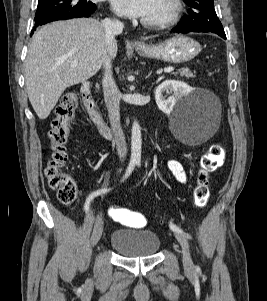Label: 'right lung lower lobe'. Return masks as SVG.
<instances>
[{"label":"right lung lower lobe","instance_id":"98d812e1","mask_svg":"<svg viewBox=\"0 0 267 301\" xmlns=\"http://www.w3.org/2000/svg\"><path fill=\"white\" fill-rule=\"evenodd\" d=\"M93 11H86L82 13H70V12H59V13H53L46 17H43L39 20L35 21V26L33 27L32 34L36 27L44 25L48 22L56 21V20H65V19H71V18H79V17H89L91 14L94 13Z\"/></svg>","mask_w":267,"mask_h":301}]
</instances>
